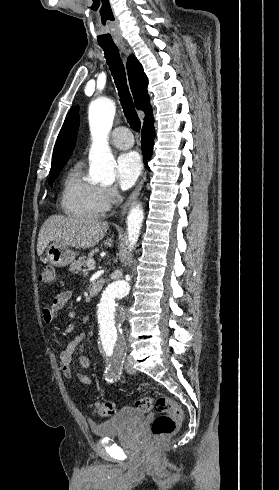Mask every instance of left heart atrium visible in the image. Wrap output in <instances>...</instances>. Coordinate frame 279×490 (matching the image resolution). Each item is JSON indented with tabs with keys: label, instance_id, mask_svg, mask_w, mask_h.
<instances>
[{
	"label": "left heart atrium",
	"instance_id": "1",
	"mask_svg": "<svg viewBox=\"0 0 279 490\" xmlns=\"http://www.w3.org/2000/svg\"><path fill=\"white\" fill-rule=\"evenodd\" d=\"M142 172V160L138 153L127 152L117 160V180L123 189L131 188Z\"/></svg>",
	"mask_w": 279,
	"mask_h": 490
}]
</instances>
